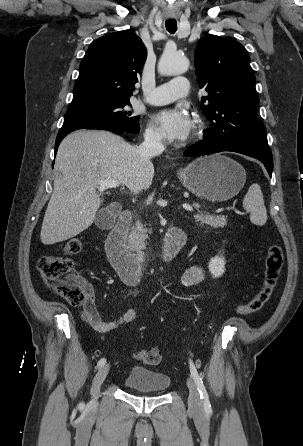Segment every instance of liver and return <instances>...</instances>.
<instances>
[{
	"label": "liver",
	"mask_w": 303,
	"mask_h": 446,
	"mask_svg": "<svg viewBox=\"0 0 303 446\" xmlns=\"http://www.w3.org/2000/svg\"><path fill=\"white\" fill-rule=\"evenodd\" d=\"M3 0H0L2 4ZM54 180L40 238L45 245L73 238L93 223L103 199L96 191L101 180H115L137 194L152 184L154 166L141 161L137 148L107 131H76L57 151Z\"/></svg>",
	"instance_id": "1"
}]
</instances>
